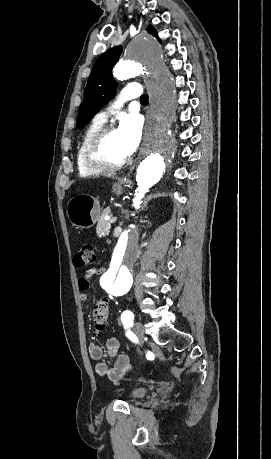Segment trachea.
I'll return each mask as SVG.
<instances>
[{"label": "trachea", "mask_w": 271, "mask_h": 459, "mask_svg": "<svg viewBox=\"0 0 271 459\" xmlns=\"http://www.w3.org/2000/svg\"><path fill=\"white\" fill-rule=\"evenodd\" d=\"M140 102L144 105L148 104V95L146 93L140 97Z\"/></svg>", "instance_id": "1"}]
</instances>
